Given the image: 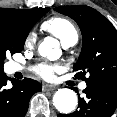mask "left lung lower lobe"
Masks as SVG:
<instances>
[{
    "mask_svg": "<svg viewBox=\"0 0 117 117\" xmlns=\"http://www.w3.org/2000/svg\"><path fill=\"white\" fill-rule=\"evenodd\" d=\"M84 98L79 96V109L58 117H110L117 107V84L95 82L87 84Z\"/></svg>",
    "mask_w": 117,
    "mask_h": 117,
    "instance_id": "0a47b994",
    "label": "left lung lower lobe"
}]
</instances>
